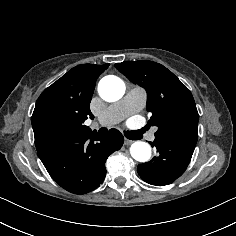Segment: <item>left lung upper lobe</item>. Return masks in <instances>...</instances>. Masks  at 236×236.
<instances>
[{"label":"left lung upper lobe","instance_id":"left-lung-upper-lobe-1","mask_svg":"<svg viewBox=\"0 0 236 236\" xmlns=\"http://www.w3.org/2000/svg\"><path fill=\"white\" fill-rule=\"evenodd\" d=\"M131 82L147 91V125L157 126V138H168L195 147L198 112L191 92L166 67L153 61H125L115 64Z\"/></svg>","mask_w":236,"mask_h":236}]
</instances>
